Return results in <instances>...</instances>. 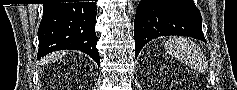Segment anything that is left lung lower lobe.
<instances>
[{"label":"left lung lower lobe","instance_id":"obj_1","mask_svg":"<svg viewBox=\"0 0 237 90\" xmlns=\"http://www.w3.org/2000/svg\"><path fill=\"white\" fill-rule=\"evenodd\" d=\"M202 17L193 0H141L135 15V58L150 40L181 35L206 41Z\"/></svg>","mask_w":237,"mask_h":90}]
</instances>
